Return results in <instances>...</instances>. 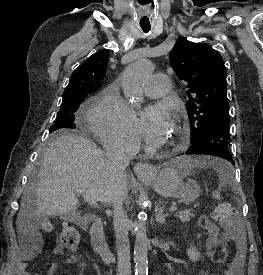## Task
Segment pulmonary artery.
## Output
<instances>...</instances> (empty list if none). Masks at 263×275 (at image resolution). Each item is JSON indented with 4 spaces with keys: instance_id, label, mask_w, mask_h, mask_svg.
<instances>
[{
    "instance_id": "obj_1",
    "label": "pulmonary artery",
    "mask_w": 263,
    "mask_h": 275,
    "mask_svg": "<svg viewBox=\"0 0 263 275\" xmlns=\"http://www.w3.org/2000/svg\"><path fill=\"white\" fill-rule=\"evenodd\" d=\"M170 89L169 79L164 74H154L144 86V94L149 98H159L168 94Z\"/></svg>"
}]
</instances>
